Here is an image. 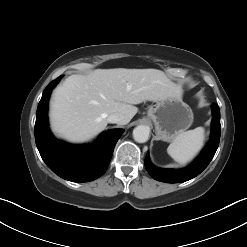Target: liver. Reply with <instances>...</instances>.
I'll list each match as a JSON object with an SVG mask.
<instances>
[{
	"instance_id": "1",
	"label": "liver",
	"mask_w": 247,
	"mask_h": 247,
	"mask_svg": "<svg viewBox=\"0 0 247 247\" xmlns=\"http://www.w3.org/2000/svg\"><path fill=\"white\" fill-rule=\"evenodd\" d=\"M180 92L181 87L157 69H96L71 75L54 91L51 126L69 141L84 142L106 128L109 115L121 113L127 124L138 111L134 105Z\"/></svg>"
}]
</instances>
